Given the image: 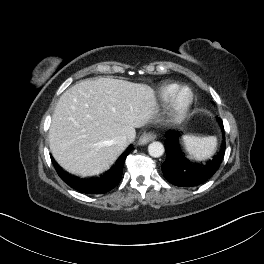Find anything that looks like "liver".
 Segmentation results:
<instances>
[{
  "instance_id": "1",
  "label": "liver",
  "mask_w": 264,
  "mask_h": 264,
  "mask_svg": "<svg viewBox=\"0 0 264 264\" xmlns=\"http://www.w3.org/2000/svg\"><path fill=\"white\" fill-rule=\"evenodd\" d=\"M154 90L145 84L98 78L83 80L58 100L49 130L50 151L70 173L93 175L106 170L125 147L116 139L148 124L156 115Z\"/></svg>"
}]
</instances>
